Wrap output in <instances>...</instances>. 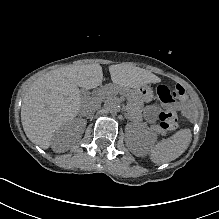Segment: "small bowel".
<instances>
[{
    "label": "small bowel",
    "mask_w": 219,
    "mask_h": 219,
    "mask_svg": "<svg viewBox=\"0 0 219 219\" xmlns=\"http://www.w3.org/2000/svg\"><path fill=\"white\" fill-rule=\"evenodd\" d=\"M157 96L159 104L149 105L144 110V115L148 121H155L160 107L179 110L184 116L189 118L195 115V107L193 103L187 98L175 101L170 90L166 86L162 85L157 88Z\"/></svg>",
    "instance_id": "obj_1"
}]
</instances>
